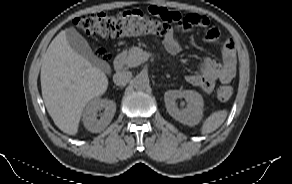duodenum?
Wrapping results in <instances>:
<instances>
[{
	"mask_svg": "<svg viewBox=\"0 0 292 184\" xmlns=\"http://www.w3.org/2000/svg\"><path fill=\"white\" fill-rule=\"evenodd\" d=\"M114 67L116 70H122L124 67V54L119 53L114 58Z\"/></svg>",
	"mask_w": 292,
	"mask_h": 184,
	"instance_id": "duodenum-1",
	"label": "duodenum"
}]
</instances>
